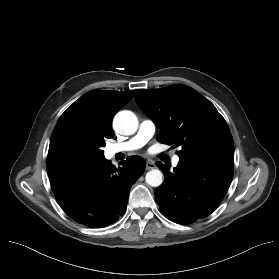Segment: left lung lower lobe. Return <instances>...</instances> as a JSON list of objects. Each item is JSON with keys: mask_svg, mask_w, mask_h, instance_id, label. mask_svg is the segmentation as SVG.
Returning a JSON list of instances; mask_svg holds the SVG:
<instances>
[{"mask_svg": "<svg viewBox=\"0 0 279 279\" xmlns=\"http://www.w3.org/2000/svg\"><path fill=\"white\" fill-rule=\"evenodd\" d=\"M165 180L155 191L161 212L171 221L189 224L217 209L232 181L234 158L179 156L173 172L157 162Z\"/></svg>", "mask_w": 279, "mask_h": 279, "instance_id": "1", "label": "left lung lower lobe"}]
</instances>
